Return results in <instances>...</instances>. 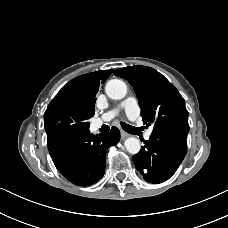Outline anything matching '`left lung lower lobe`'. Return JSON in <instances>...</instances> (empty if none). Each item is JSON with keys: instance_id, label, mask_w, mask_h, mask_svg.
Wrapping results in <instances>:
<instances>
[{"instance_id": "obj_1", "label": "left lung lower lobe", "mask_w": 228, "mask_h": 228, "mask_svg": "<svg viewBox=\"0 0 228 228\" xmlns=\"http://www.w3.org/2000/svg\"><path fill=\"white\" fill-rule=\"evenodd\" d=\"M187 138L169 131H153L133 162L150 183L168 180L178 169L187 152Z\"/></svg>"}]
</instances>
